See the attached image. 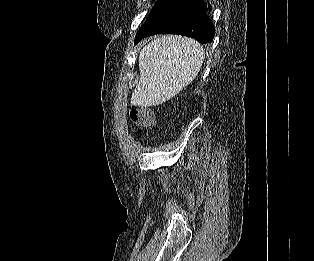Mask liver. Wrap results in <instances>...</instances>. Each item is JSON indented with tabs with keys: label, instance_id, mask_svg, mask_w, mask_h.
<instances>
[{
	"label": "liver",
	"instance_id": "obj_1",
	"mask_svg": "<svg viewBox=\"0 0 314 261\" xmlns=\"http://www.w3.org/2000/svg\"><path fill=\"white\" fill-rule=\"evenodd\" d=\"M204 61L194 39L164 35L145 45L139 54L140 79L131 96L139 107L160 105L191 83Z\"/></svg>",
	"mask_w": 314,
	"mask_h": 261
}]
</instances>
